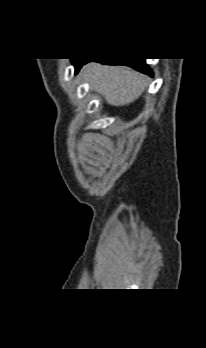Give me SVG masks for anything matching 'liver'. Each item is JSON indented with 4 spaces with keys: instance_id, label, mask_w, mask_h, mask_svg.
Instances as JSON below:
<instances>
[{
    "instance_id": "1",
    "label": "liver",
    "mask_w": 206,
    "mask_h": 348,
    "mask_svg": "<svg viewBox=\"0 0 206 348\" xmlns=\"http://www.w3.org/2000/svg\"><path fill=\"white\" fill-rule=\"evenodd\" d=\"M81 72L86 80L91 82V87L113 106L132 103L147 87L145 75L125 66L90 63L85 65Z\"/></svg>"
}]
</instances>
